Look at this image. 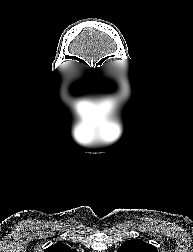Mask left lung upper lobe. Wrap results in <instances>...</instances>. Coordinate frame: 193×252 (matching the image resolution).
<instances>
[{
	"instance_id": "1",
	"label": "left lung upper lobe",
	"mask_w": 193,
	"mask_h": 252,
	"mask_svg": "<svg viewBox=\"0 0 193 252\" xmlns=\"http://www.w3.org/2000/svg\"><path fill=\"white\" fill-rule=\"evenodd\" d=\"M117 252H158L157 249L139 239L125 242Z\"/></svg>"
}]
</instances>
